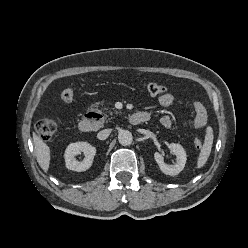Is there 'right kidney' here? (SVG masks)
<instances>
[{
  "mask_svg": "<svg viewBox=\"0 0 248 248\" xmlns=\"http://www.w3.org/2000/svg\"><path fill=\"white\" fill-rule=\"evenodd\" d=\"M84 153L85 158L83 161H78L75 156ZM96 148L87 142H76L68 145L65 151L66 167L69 170L82 172L90 168L93 163Z\"/></svg>",
  "mask_w": 248,
  "mask_h": 248,
  "instance_id": "1",
  "label": "right kidney"
}]
</instances>
